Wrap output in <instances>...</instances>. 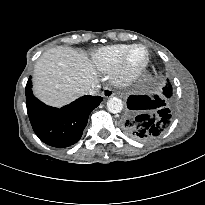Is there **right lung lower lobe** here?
<instances>
[{
    "label": "right lung lower lobe",
    "instance_id": "obj_1",
    "mask_svg": "<svg viewBox=\"0 0 205 205\" xmlns=\"http://www.w3.org/2000/svg\"><path fill=\"white\" fill-rule=\"evenodd\" d=\"M30 79L26 85L28 116L36 135L53 147L76 143L87 125L89 114L101 103L100 96L85 95L60 109L45 105L32 94Z\"/></svg>",
    "mask_w": 205,
    "mask_h": 205
}]
</instances>
